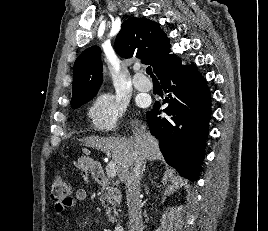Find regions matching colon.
Instances as JSON below:
<instances>
[{"label":"colon","instance_id":"5ec220e1","mask_svg":"<svg viewBox=\"0 0 268 231\" xmlns=\"http://www.w3.org/2000/svg\"><path fill=\"white\" fill-rule=\"evenodd\" d=\"M50 195L52 200L58 202L59 204H69L70 197V187L67 181L61 177L56 176L51 183Z\"/></svg>","mask_w":268,"mask_h":231}]
</instances>
